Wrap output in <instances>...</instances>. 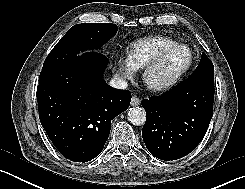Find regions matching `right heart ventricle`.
Instances as JSON below:
<instances>
[{"mask_svg":"<svg viewBox=\"0 0 245 189\" xmlns=\"http://www.w3.org/2000/svg\"><path fill=\"white\" fill-rule=\"evenodd\" d=\"M175 43L171 38L162 35L141 38L127 47V58L135 69H141L160 51Z\"/></svg>","mask_w":245,"mask_h":189,"instance_id":"right-heart-ventricle-1","label":"right heart ventricle"}]
</instances>
